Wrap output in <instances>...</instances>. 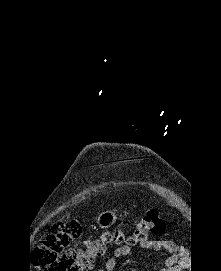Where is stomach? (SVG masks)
Instances as JSON below:
<instances>
[{
  "instance_id": "stomach-1",
  "label": "stomach",
  "mask_w": 221,
  "mask_h": 271,
  "mask_svg": "<svg viewBox=\"0 0 221 271\" xmlns=\"http://www.w3.org/2000/svg\"><path fill=\"white\" fill-rule=\"evenodd\" d=\"M117 219L115 211H102L97 217L99 227H110Z\"/></svg>"
}]
</instances>
